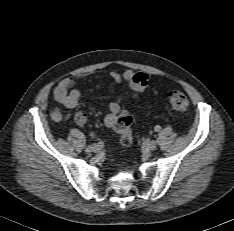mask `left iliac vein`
<instances>
[{
    "label": "left iliac vein",
    "mask_w": 234,
    "mask_h": 231,
    "mask_svg": "<svg viewBox=\"0 0 234 231\" xmlns=\"http://www.w3.org/2000/svg\"><path fill=\"white\" fill-rule=\"evenodd\" d=\"M157 148L156 141L152 140L147 144V149L150 151H154Z\"/></svg>",
    "instance_id": "obj_1"
}]
</instances>
